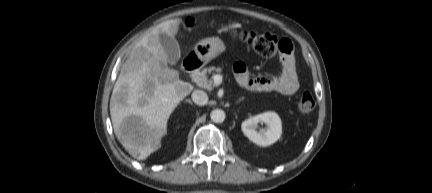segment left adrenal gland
Instances as JSON below:
<instances>
[{"label": "left adrenal gland", "instance_id": "1", "mask_svg": "<svg viewBox=\"0 0 432 193\" xmlns=\"http://www.w3.org/2000/svg\"><path fill=\"white\" fill-rule=\"evenodd\" d=\"M244 98L239 99L237 102H240L241 100H243Z\"/></svg>", "mask_w": 432, "mask_h": 193}]
</instances>
